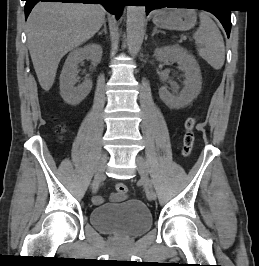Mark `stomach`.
<instances>
[{"instance_id":"obj_1","label":"stomach","mask_w":259,"mask_h":266,"mask_svg":"<svg viewBox=\"0 0 259 266\" xmlns=\"http://www.w3.org/2000/svg\"><path fill=\"white\" fill-rule=\"evenodd\" d=\"M196 12L191 9H161L154 13L153 23L163 29L187 31L196 24Z\"/></svg>"}]
</instances>
